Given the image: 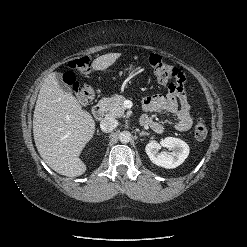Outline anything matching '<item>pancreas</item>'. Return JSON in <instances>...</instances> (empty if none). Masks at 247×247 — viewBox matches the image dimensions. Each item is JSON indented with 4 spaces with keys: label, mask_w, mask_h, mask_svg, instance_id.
<instances>
[{
    "label": "pancreas",
    "mask_w": 247,
    "mask_h": 247,
    "mask_svg": "<svg viewBox=\"0 0 247 247\" xmlns=\"http://www.w3.org/2000/svg\"><path fill=\"white\" fill-rule=\"evenodd\" d=\"M126 98L122 95H115L110 98H103L99 104L112 117H122L125 112L124 101Z\"/></svg>",
    "instance_id": "pancreas-1"
}]
</instances>
